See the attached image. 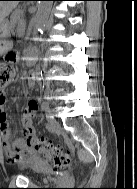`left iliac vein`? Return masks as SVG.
Instances as JSON below:
<instances>
[{
    "mask_svg": "<svg viewBox=\"0 0 137 189\" xmlns=\"http://www.w3.org/2000/svg\"><path fill=\"white\" fill-rule=\"evenodd\" d=\"M46 118L50 125H53L55 123L54 111L52 109L50 108L46 109Z\"/></svg>",
    "mask_w": 137,
    "mask_h": 189,
    "instance_id": "1",
    "label": "left iliac vein"
}]
</instances>
